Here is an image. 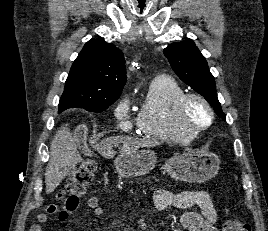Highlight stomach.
Wrapping results in <instances>:
<instances>
[{"mask_svg":"<svg viewBox=\"0 0 268 231\" xmlns=\"http://www.w3.org/2000/svg\"><path fill=\"white\" fill-rule=\"evenodd\" d=\"M157 162L152 150L121 152L115 159L117 173L124 178H132L150 173ZM220 160L210 152L188 151L175 154L163 165L164 173L172 178L189 183H203L213 178L219 170Z\"/></svg>","mask_w":268,"mask_h":231,"instance_id":"stomach-1","label":"stomach"}]
</instances>
